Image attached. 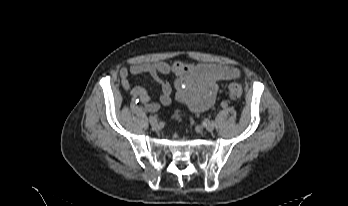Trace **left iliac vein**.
I'll return each mask as SVG.
<instances>
[{
	"label": "left iliac vein",
	"instance_id": "left-iliac-vein-1",
	"mask_svg": "<svg viewBox=\"0 0 348 206\" xmlns=\"http://www.w3.org/2000/svg\"><path fill=\"white\" fill-rule=\"evenodd\" d=\"M214 128H215V123L213 121H209L205 126V129L209 132L213 131Z\"/></svg>",
	"mask_w": 348,
	"mask_h": 206
}]
</instances>
